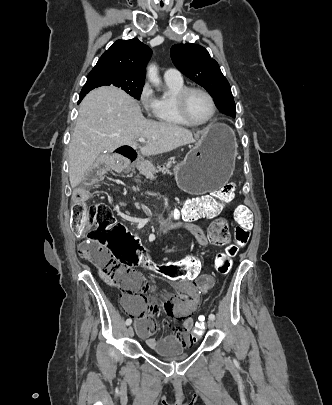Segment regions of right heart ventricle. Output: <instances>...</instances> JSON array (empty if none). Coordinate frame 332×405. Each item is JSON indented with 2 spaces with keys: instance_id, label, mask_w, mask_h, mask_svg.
Segmentation results:
<instances>
[{
  "instance_id": "obj_1",
  "label": "right heart ventricle",
  "mask_w": 332,
  "mask_h": 405,
  "mask_svg": "<svg viewBox=\"0 0 332 405\" xmlns=\"http://www.w3.org/2000/svg\"><path fill=\"white\" fill-rule=\"evenodd\" d=\"M168 94L156 98L154 118L163 124L189 126L178 114L176 107V95L185 88L183 80H165Z\"/></svg>"
}]
</instances>
